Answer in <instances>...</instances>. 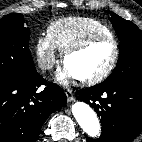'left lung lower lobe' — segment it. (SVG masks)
<instances>
[{"instance_id": "obj_1", "label": "left lung lower lobe", "mask_w": 142, "mask_h": 142, "mask_svg": "<svg viewBox=\"0 0 142 142\" xmlns=\"http://www.w3.org/2000/svg\"><path fill=\"white\" fill-rule=\"evenodd\" d=\"M78 94L101 117L100 138L88 142H132L142 130L141 80L102 82Z\"/></svg>"}]
</instances>
